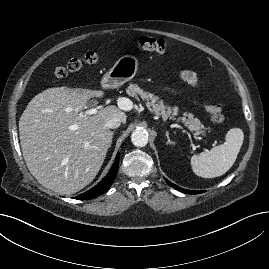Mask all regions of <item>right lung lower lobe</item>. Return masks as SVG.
Masks as SVG:
<instances>
[{
  "label": "right lung lower lobe",
  "mask_w": 269,
  "mask_h": 269,
  "mask_svg": "<svg viewBox=\"0 0 269 269\" xmlns=\"http://www.w3.org/2000/svg\"><path fill=\"white\" fill-rule=\"evenodd\" d=\"M118 165H119V153L116 155L115 162L110 172L107 174V176L92 189L78 195L76 199H80V200L92 199L106 192L110 188V186L113 184V181L118 171Z\"/></svg>",
  "instance_id": "right-lung-lower-lobe-1"
}]
</instances>
